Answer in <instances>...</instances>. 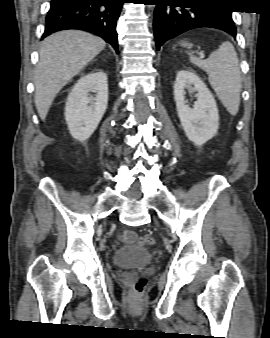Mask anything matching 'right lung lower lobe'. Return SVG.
Returning <instances> with one entry per match:
<instances>
[{
  "mask_svg": "<svg viewBox=\"0 0 270 338\" xmlns=\"http://www.w3.org/2000/svg\"><path fill=\"white\" fill-rule=\"evenodd\" d=\"M124 0H51L42 38L65 29H80L98 35L118 53L116 21Z\"/></svg>",
  "mask_w": 270,
  "mask_h": 338,
  "instance_id": "obj_1",
  "label": "right lung lower lobe"
}]
</instances>
